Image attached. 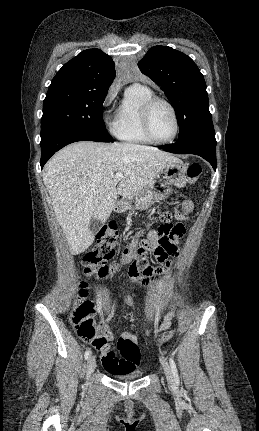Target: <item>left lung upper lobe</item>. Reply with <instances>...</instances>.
Instances as JSON below:
<instances>
[{"mask_svg":"<svg viewBox=\"0 0 259 431\" xmlns=\"http://www.w3.org/2000/svg\"><path fill=\"white\" fill-rule=\"evenodd\" d=\"M141 72L164 91L176 111L177 142L216 141L204 76L194 61L167 46H154L138 62Z\"/></svg>","mask_w":259,"mask_h":431,"instance_id":"obj_1","label":"left lung upper lobe"}]
</instances>
